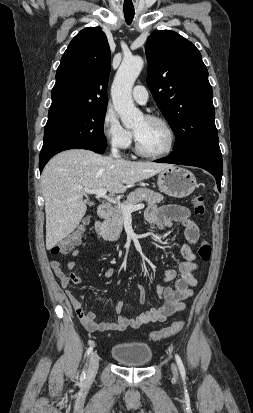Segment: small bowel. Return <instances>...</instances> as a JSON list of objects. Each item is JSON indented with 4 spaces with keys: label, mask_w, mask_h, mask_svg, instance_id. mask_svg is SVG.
I'll return each instance as SVG.
<instances>
[{
    "label": "small bowel",
    "mask_w": 253,
    "mask_h": 413,
    "mask_svg": "<svg viewBox=\"0 0 253 413\" xmlns=\"http://www.w3.org/2000/svg\"><path fill=\"white\" fill-rule=\"evenodd\" d=\"M145 217L149 223L156 225L160 229L171 228L175 224L183 226L187 240V243H184L180 248L183 260L178 263L177 269L167 270L163 278L164 282L175 280L174 287L162 285L157 287L159 296L164 300V303L158 308H151L134 318L119 315L115 322H99L94 312H86L84 310L82 304L83 297L67 290L69 285H79L81 283V278L73 272L76 265L74 258L79 251L75 249L71 253V259L67 263L68 274L65 273L58 260L50 262L51 269L59 279L61 286L65 289L66 295L78 318L90 332L124 331L127 328H139L147 323L164 322L172 314L183 311L185 309L184 301L193 296L192 287L197 284L193 273L198 268L195 262L196 255L193 246L198 241L199 228L191 219L190 210L179 205L150 206L146 210ZM112 274V268L107 269L105 272L107 278L111 277ZM145 300V288L140 286V304H144ZM123 307V302H118L115 305V312L121 314Z\"/></svg>",
    "instance_id": "small-bowel-1"
}]
</instances>
